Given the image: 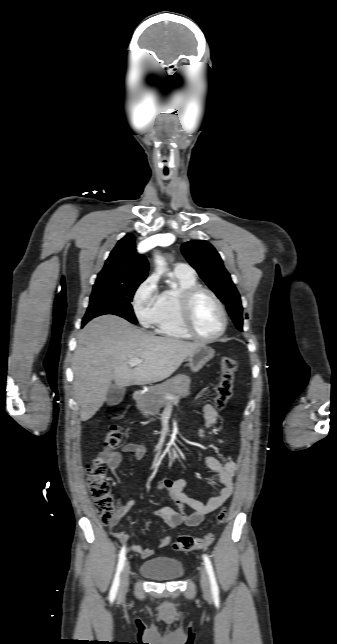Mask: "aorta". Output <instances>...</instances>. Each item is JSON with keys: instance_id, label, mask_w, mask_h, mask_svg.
Instances as JSON below:
<instances>
[{"instance_id": "1", "label": "aorta", "mask_w": 337, "mask_h": 644, "mask_svg": "<svg viewBox=\"0 0 337 644\" xmlns=\"http://www.w3.org/2000/svg\"><path fill=\"white\" fill-rule=\"evenodd\" d=\"M155 262H156V264H157V266L159 268H161V267H163L165 265L163 259L161 257H159V256H155ZM171 286L173 288H176L177 285L175 283H171Z\"/></svg>"}]
</instances>
